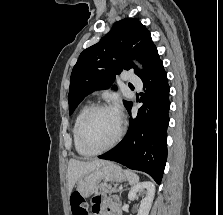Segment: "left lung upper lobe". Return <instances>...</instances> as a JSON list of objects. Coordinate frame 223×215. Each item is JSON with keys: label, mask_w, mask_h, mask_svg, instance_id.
Wrapping results in <instances>:
<instances>
[{"label": "left lung upper lobe", "mask_w": 223, "mask_h": 215, "mask_svg": "<svg viewBox=\"0 0 223 215\" xmlns=\"http://www.w3.org/2000/svg\"><path fill=\"white\" fill-rule=\"evenodd\" d=\"M131 58H136L142 63L144 70L136 68ZM159 61L150 32L139 20L131 18L116 22L97 44L80 54L71 73L69 114H72L75 107L89 93L109 88L115 80V75L123 69L135 68V74L142 78ZM131 103L124 101L126 108Z\"/></svg>", "instance_id": "obj_1"}]
</instances>
